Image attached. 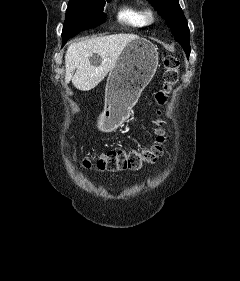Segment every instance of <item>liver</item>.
<instances>
[{
  "label": "liver",
  "mask_w": 240,
  "mask_h": 281,
  "mask_svg": "<svg viewBox=\"0 0 240 281\" xmlns=\"http://www.w3.org/2000/svg\"><path fill=\"white\" fill-rule=\"evenodd\" d=\"M137 38L135 34L119 33L71 43L65 54V83L72 81L81 91L95 88L114 68L125 46ZM94 54L100 56L99 65L90 60Z\"/></svg>",
  "instance_id": "obj_1"
}]
</instances>
